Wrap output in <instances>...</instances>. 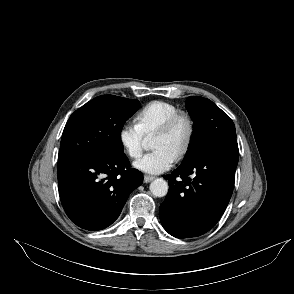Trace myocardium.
<instances>
[{
  "label": "myocardium",
  "instance_id": "obj_1",
  "mask_svg": "<svg viewBox=\"0 0 294 294\" xmlns=\"http://www.w3.org/2000/svg\"><path fill=\"white\" fill-rule=\"evenodd\" d=\"M180 121H184L187 124V135L182 147L176 154V159H182L192 146L196 130L194 119L185 112H178L169 117L153 134V136L168 134Z\"/></svg>",
  "mask_w": 294,
  "mask_h": 294
}]
</instances>
